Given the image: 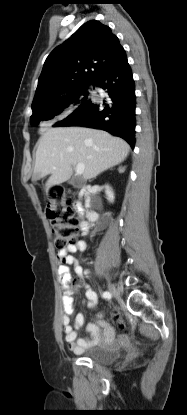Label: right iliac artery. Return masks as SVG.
<instances>
[{
  "label": "right iliac artery",
  "instance_id": "82829eb1",
  "mask_svg": "<svg viewBox=\"0 0 187 415\" xmlns=\"http://www.w3.org/2000/svg\"><path fill=\"white\" fill-rule=\"evenodd\" d=\"M110 296H111L110 293L107 292V291L106 292H103V294H102V297L103 298H110Z\"/></svg>",
  "mask_w": 187,
  "mask_h": 415
}]
</instances>
